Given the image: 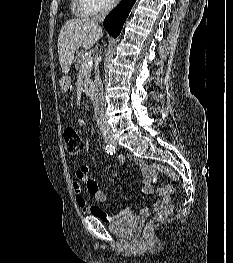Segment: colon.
I'll use <instances>...</instances> for the list:
<instances>
[{"label": "colon", "mask_w": 233, "mask_h": 263, "mask_svg": "<svg viewBox=\"0 0 233 263\" xmlns=\"http://www.w3.org/2000/svg\"><path fill=\"white\" fill-rule=\"evenodd\" d=\"M64 141H65V149L68 155L75 157L77 156L83 149V142L77 132V130L73 127H67L64 130ZM152 176L153 181L156 180V173L157 172H163L168 174L169 176L176 178L175 174L167 167L163 165H154L152 167ZM173 211V205L167 204L162 209H160L157 214L155 215L154 219L151 220L146 226H145V232H148L153 223L163 221L165 218L169 216V214Z\"/></svg>", "instance_id": "obj_1"}]
</instances>
